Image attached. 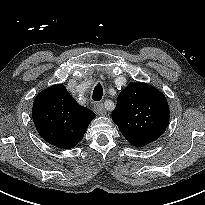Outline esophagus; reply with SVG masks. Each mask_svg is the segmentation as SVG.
<instances>
[{"mask_svg": "<svg viewBox=\"0 0 205 205\" xmlns=\"http://www.w3.org/2000/svg\"><path fill=\"white\" fill-rule=\"evenodd\" d=\"M94 110L98 115H105L106 114L103 103H96L94 105Z\"/></svg>", "mask_w": 205, "mask_h": 205, "instance_id": "34e87169", "label": "esophagus"}]
</instances>
